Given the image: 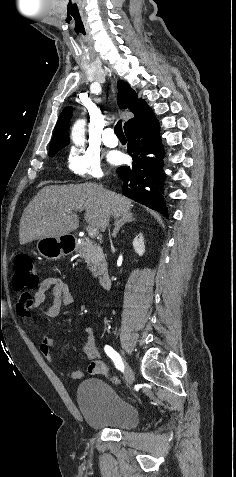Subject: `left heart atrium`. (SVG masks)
<instances>
[{
  "mask_svg": "<svg viewBox=\"0 0 236 477\" xmlns=\"http://www.w3.org/2000/svg\"><path fill=\"white\" fill-rule=\"evenodd\" d=\"M111 161L115 164L121 163L123 161V157L119 153H115L111 156Z\"/></svg>",
  "mask_w": 236,
  "mask_h": 477,
  "instance_id": "39dd6f15",
  "label": "left heart atrium"
}]
</instances>
